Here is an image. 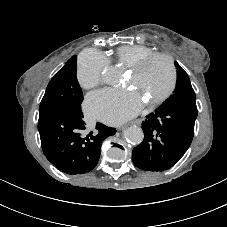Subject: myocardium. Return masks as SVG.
<instances>
[{
  "mask_svg": "<svg viewBox=\"0 0 227 227\" xmlns=\"http://www.w3.org/2000/svg\"><path fill=\"white\" fill-rule=\"evenodd\" d=\"M157 58H163L168 62L169 66H170V70H171V82H170V85L167 88V90L161 96H159L158 98H156L154 100L147 102L149 106H157V105L162 104L174 92L176 85H177V79H178L177 69H176L174 60L168 54L156 52V53H153V54H150V55H147V56L141 58L140 60H138L137 62H135L134 64H132L131 66L128 67L130 72L139 73L150 62H152L153 60H155Z\"/></svg>",
  "mask_w": 227,
  "mask_h": 227,
  "instance_id": "myocardium-1",
  "label": "myocardium"
}]
</instances>
